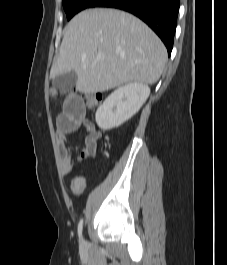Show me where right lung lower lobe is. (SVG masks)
<instances>
[{
  "label": "right lung lower lobe",
  "instance_id": "98d812e1",
  "mask_svg": "<svg viewBox=\"0 0 227 265\" xmlns=\"http://www.w3.org/2000/svg\"><path fill=\"white\" fill-rule=\"evenodd\" d=\"M180 0H93L90 7H112L128 11L145 23L161 38L170 56Z\"/></svg>",
  "mask_w": 227,
  "mask_h": 265
}]
</instances>
